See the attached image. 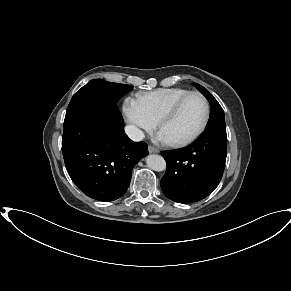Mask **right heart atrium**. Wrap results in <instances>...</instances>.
<instances>
[{
	"mask_svg": "<svg viewBox=\"0 0 291 291\" xmlns=\"http://www.w3.org/2000/svg\"><path fill=\"white\" fill-rule=\"evenodd\" d=\"M123 113L130 125L132 135L136 138L142 137L144 132L152 131L156 127V122L148 116L136 99L126 98L123 104Z\"/></svg>",
	"mask_w": 291,
	"mask_h": 291,
	"instance_id": "obj_1",
	"label": "right heart atrium"
}]
</instances>
